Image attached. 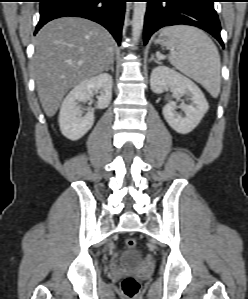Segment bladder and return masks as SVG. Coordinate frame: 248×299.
Returning <instances> with one entry per match:
<instances>
[{"mask_svg":"<svg viewBox=\"0 0 248 299\" xmlns=\"http://www.w3.org/2000/svg\"><path fill=\"white\" fill-rule=\"evenodd\" d=\"M142 257L141 255L134 251L130 250L124 253L118 261L119 266L123 268H138L141 265Z\"/></svg>","mask_w":248,"mask_h":299,"instance_id":"1","label":"bladder"}]
</instances>
